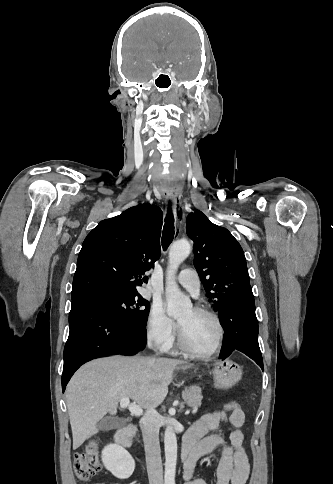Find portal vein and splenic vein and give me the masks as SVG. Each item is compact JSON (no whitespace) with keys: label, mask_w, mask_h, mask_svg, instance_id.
Returning a JSON list of instances; mask_svg holds the SVG:
<instances>
[{"label":"portal vein and splenic vein","mask_w":333,"mask_h":484,"mask_svg":"<svg viewBox=\"0 0 333 484\" xmlns=\"http://www.w3.org/2000/svg\"><path fill=\"white\" fill-rule=\"evenodd\" d=\"M120 407L127 408L132 415L140 416L143 413L142 408L135 403H130V399L128 397H125L120 401ZM193 412H195V410Z\"/></svg>","instance_id":"1"}]
</instances>
